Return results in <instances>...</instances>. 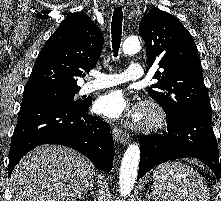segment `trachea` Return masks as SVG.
Listing matches in <instances>:
<instances>
[{
  "instance_id": "3493384b",
  "label": "trachea",
  "mask_w": 221,
  "mask_h": 201,
  "mask_svg": "<svg viewBox=\"0 0 221 201\" xmlns=\"http://www.w3.org/2000/svg\"><path fill=\"white\" fill-rule=\"evenodd\" d=\"M122 20L123 12L121 7L114 9L111 23V35H112V48L115 57L118 56V51L120 48L121 38H122Z\"/></svg>"
}]
</instances>
